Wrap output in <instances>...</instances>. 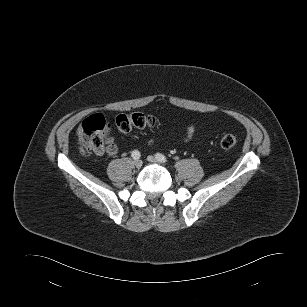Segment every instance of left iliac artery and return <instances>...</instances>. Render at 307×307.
I'll return each mask as SVG.
<instances>
[{
  "label": "left iliac artery",
  "instance_id": "44dca946",
  "mask_svg": "<svg viewBox=\"0 0 307 307\" xmlns=\"http://www.w3.org/2000/svg\"><path fill=\"white\" fill-rule=\"evenodd\" d=\"M155 157H156L157 160L160 161V162H163V163L167 162V158H166L163 154H161V153H157V154L155 155Z\"/></svg>",
  "mask_w": 307,
  "mask_h": 307
}]
</instances>
